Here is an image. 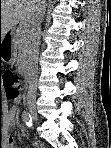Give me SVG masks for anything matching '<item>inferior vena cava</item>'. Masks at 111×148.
I'll return each instance as SVG.
<instances>
[{"label":"inferior vena cava","instance_id":"1","mask_svg":"<svg viewBox=\"0 0 111 148\" xmlns=\"http://www.w3.org/2000/svg\"><path fill=\"white\" fill-rule=\"evenodd\" d=\"M45 2L46 0H38L37 7L35 12L33 13L30 20V55L32 61V76L31 81L29 82L28 92H27V100H35L36 99V67L39 55V45H40V34H41V23L43 20V14L45 13Z\"/></svg>","mask_w":111,"mask_h":148}]
</instances>
